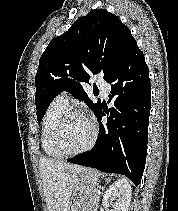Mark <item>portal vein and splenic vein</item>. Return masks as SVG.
Wrapping results in <instances>:
<instances>
[{"label": "portal vein and splenic vein", "mask_w": 178, "mask_h": 211, "mask_svg": "<svg viewBox=\"0 0 178 211\" xmlns=\"http://www.w3.org/2000/svg\"><path fill=\"white\" fill-rule=\"evenodd\" d=\"M101 192L100 191H97V194H100Z\"/></svg>", "instance_id": "obj_1"}]
</instances>
